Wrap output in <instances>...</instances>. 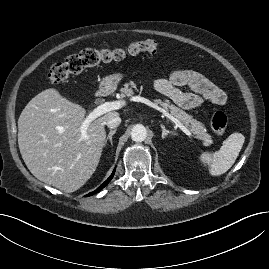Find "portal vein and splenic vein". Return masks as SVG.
<instances>
[{
    "label": "portal vein and splenic vein",
    "instance_id": "portal-vein-and-splenic-vein-1",
    "mask_svg": "<svg viewBox=\"0 0 269 269\" xmlns=\"http://www.w3.org/2000/svg\"><path fill=\"white\" fill-rule=\"evenodd\" d=\"M132 101L135 102H141L144 103L150 107H153L157 110H159L160 112H162L166 117H168L172 122H174L176 124L177 127H179L186 135L190 136L191 132L176 118H174L173 116H171L168 112H166L164 109H162L161 107L157 106L156 104L152 103L150 100L144 98V97H140V96H134L131 98ZM126 105V101L124 100H118V101H112V102H105L99 106H97L88 116L87 118L83 121L80 129L82 132V135L84 137H86V130L89 126V124L95 120L96 118L100 117L101 115L110 112L112 110H117L120 109L122 107H124ZM206 143L212 144L213 141L212 140H206Z\"/></svg>",
    "mask_w": 269,
    "mask_h": 269
}]
</instances>
